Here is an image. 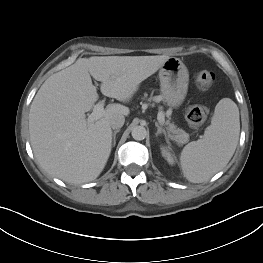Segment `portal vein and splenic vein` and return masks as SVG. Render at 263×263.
Segmentation results:
<instances>
[{"label": "portal vein and splenic vein", "mask_w": 263, "mask_h": 263, "mask_svg": "<svg viewBox=\"0 0 263 263\" xmlns=\"http://www.w3.org/2000/svg\"><path fill=\"white\" fill-rule=\"evenodd\" d=\"M104 105H105L104 100L99 101L97 104L94 105L93 112L87 118V122L89 124H93L95 121H97L98 119H100L103 116V114L105 112ZM157 119H158L159 123H161L162 125L165 123V117H164V114L162 112H160L158 114Z\"/></svg>", "instance_id": "18ae733b"}]
</instances>
